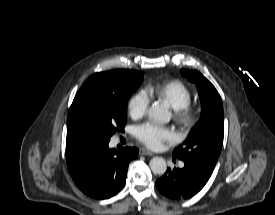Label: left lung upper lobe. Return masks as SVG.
Instances as JSON below:
<instances>
[{
	"label": "left lung upper lobe",
	"instance_id": "5c2ea615",
	"mask_svg": "<svg viewBox=\"0 0 275 215\" xmlns=\"http://www.w3.org/2000/svg\"><path fill=\"white\" fill-rule=\"evenodd\" d=\"M181 74L196 84L201 100V117L184 145L173 155L186 163L213 170L224 136L223 105L215 87L198 71L181 69Z\"/></svg>",
	"mask_w": 275,
	"mask_h": 215
}]
</instances>
